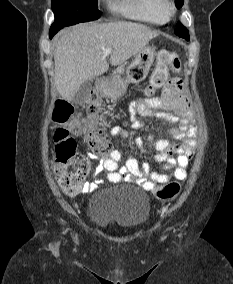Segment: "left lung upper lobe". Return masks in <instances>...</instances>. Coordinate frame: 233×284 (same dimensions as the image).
Masks as SVG:
<instances>
[{
  "mask_svg": "<svg viewBox=\"0 0 233 284\" xmlns=\"http://www.w3.org/2000/svg\"><path fill=\"white\" fill-rule=\"evenodd\" d=\"M175 5L177 8H181L183 6V0H175ZM175 34L189 40L188 30L180 22L177 23Z\"/></svg>",
  "mask_w": 233,
  "mask_h": 284,
  "instance_id": "left-lung-upper-lobe-1",
  "label": "left lung upper lobe"
}]
</instances>
